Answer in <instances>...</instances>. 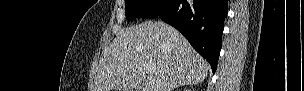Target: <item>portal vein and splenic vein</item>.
I'll return each instance as SVG.
<instances>
[{
    "label": "portal vein and splenic vein",
    "mask_w": 304,
    "mask_h": 91,
    "mask_svg": "<svg viewBox=\"0 0 304 91\" xmlns=\"http://www.w3.org/2000/svg\"><path fill=\"white\" fill-rule=\"evenodd\" d=\"M153 70H154V69H153L152 67H150V66H145V71H146L147 74H152Z\"/></svg>",
    "instance_id": "1"
}]
</instances>
